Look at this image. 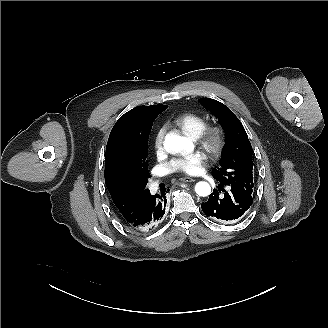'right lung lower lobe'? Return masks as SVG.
I'll return each mask as SVG.
<instances>
[{
    "instance_id": "98d812e1",
    "label": "right lung lower lobe",
    "mask_w": 328,
    "mask_h": 328,
    "mask_svg": "<svg viewBox=\"0 0 328 328\" xmlns=\"http://www.w3.org/2000/svg\"><path fill=\"white\" fill-rule=\"evenodd\" d=\"M166 197L164 194L151 195L149 194L147 201L144 203L137 219L132 223L124 224L132 229L140 231H148L156 227L162 220L166 210Z\"/></svg>"
}]
</instances>
